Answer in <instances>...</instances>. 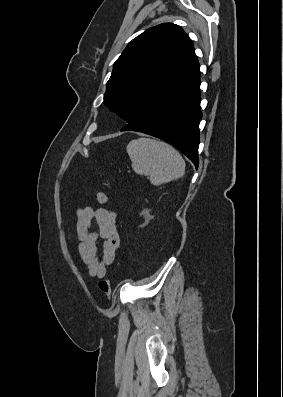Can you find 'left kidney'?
Listing matches in <instances>:
<instances>
[{
	"instance_id": "obj_1",
	"label": "left kidney",
	"mask_w": 283,
	"mask_h": 397,
	"mask_svg": "<svg viewBox=\"0 0 283 397\" xmlns=\"http://www.w3.org/2000/svg\"><path fill=\"white\" fill-rule=\"evenodd\" d=\"M149 212H150V210L146 209V210H143V211L140 213V215H143L145 219H150V218H151V215H150Z\"/></svg>"
}]
</instances>
